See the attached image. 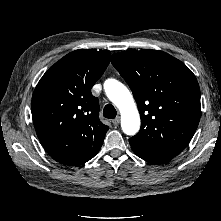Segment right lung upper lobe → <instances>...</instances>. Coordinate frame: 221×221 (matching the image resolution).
<instances>
[{
	"instance_id": "1",
	"label": "right lung upper lobe",
	"mask_w": 221,
	"mask_h": 221,
	"mask_svg": "<svg viewBox=\"0 0 221 221\" xmlns=\"http://www.w3.org/2000/svg\"><path fill=\"white\" fill-rule=\"evenodd\" d=\"M110 51L80 49L56 62L40 79L31 111L37 136L56 161L81 165L100 150L108 126L98 118L91 88L110 61Z\"/></svg>"
}]
</instances>
